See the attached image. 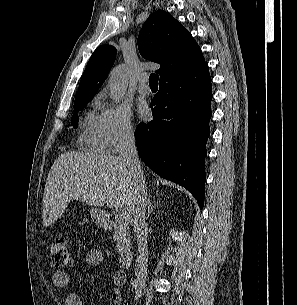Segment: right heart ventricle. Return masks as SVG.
I'll return each mask as SVG.
<instances>
[{
	"label": "right heart ventricle",
	"instance_id": "1",
	"mask_svg": "<svg viewBox=\"0 0 297 305\" xmlns=\"http://www.w3.org/2000/svg\"><path fill=\"white\" fill-rule=\"evenodd\" d=\"M79 141L84 150L102 153L106 150L100 126V117L94 112L86 113L79 133Z\"/></svg>",
	"mask_w": 297,
	"mask_h": 305
}]
</instances>
